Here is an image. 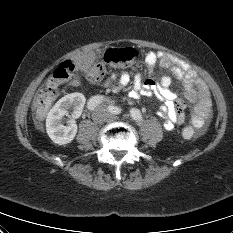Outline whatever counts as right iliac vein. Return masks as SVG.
I'll use <instances>...</instances> for the list:
<instances>
[{
    "label": "right iliac vein",
    "instance_id": "obj_1",
    "mask_svg": "<svg viewBox=\"0 0 233 233\" xmlns=\"http://www.w3.org/2000/svg\"><path fill=\"white\" fill-rule=\"evenodd\" d=\"M93 120L95 122L101 123L105 120V114L102 110H98L93 115Z\"/></svg>",
    "mask_w": 233,
    "mask_h": 233
}]
</instances>
